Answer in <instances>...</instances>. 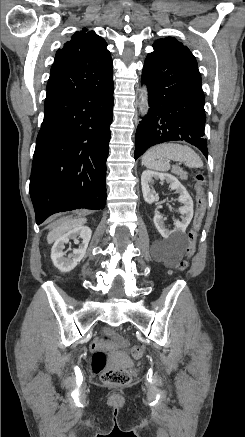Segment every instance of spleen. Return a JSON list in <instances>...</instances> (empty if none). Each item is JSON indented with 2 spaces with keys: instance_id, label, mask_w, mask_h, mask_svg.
I'll return each instance as SVG.
<instances>
[{
  "instance_id": "spleen-1",
  "label": "spleen",
  "mask_w": 245,
  "mask_h": 437,
  "mask_svg": "<svg viewBox=\"0 0 245 437\" xmlns=\"http://www.w3.org/2000/svg\"><path fill=\"white\" fill-rule=\"evenodd\" d=\"M169 160L184 163L190 168H200L203 161L189 146L178 143H163L148 149L142 157L147 168L166 172L170 169Z\"/></svg>"
}]
</instances>
